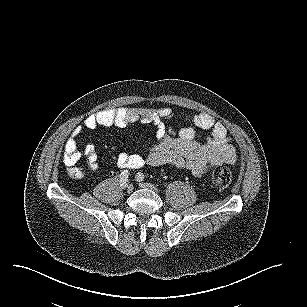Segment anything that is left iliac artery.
<instances>
[{"label": "left iliac artery", "mask_w": 307, "mask_h": 307, "mask_svg": "<svg viewBox=\"0 0 307 307\" xmlns=\"http://www.w3.org/2000/svg\"><path fill=\"white\" fill-rule=\"evenodd\" d=\"M136 180L139 181V182L143 181L144 180L143 173H137Z\"/></svg>", "instance_id": "44dca946"}]
</instances>
